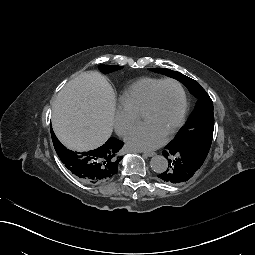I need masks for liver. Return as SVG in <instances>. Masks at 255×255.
Wrapping results in <instances>:
<instances>
[{
    "label": "liver",
    "mask_w": 255,
    "mask_h": 255,
    "mask_svg": "<svg viewBox=\"0 0 255 255\" xmlns=\"http://www.w3.org/2000/svg\"><path fill=\"white\" fill-rule=\"evenodd\" d=\"M115 93L98 72H84L69 81L52 105V123L69 149L89 151L111 136Z\"/></svg>",
    "instance_id": "obj_1"
}]
</instances>
